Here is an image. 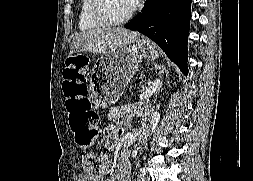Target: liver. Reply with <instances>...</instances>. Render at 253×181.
<instances>
[{
    "instance_id": "6515ba94",
    "label": "liver",
    "mask_w": 253,
    "mask_h": 181,
    "mask_svg": "<svg viewBox=\"0 0 253 181\" xmlns=\"http://www.w3.org/2000/svg\"><path fill=\"white\" fill-rule=\"evenodd\" d=\"M140 34L122 27H102L77 34L71 43L69 55L79 52L106 54L118 47L132 44Z\"/></svg>"
}]
</instances>
